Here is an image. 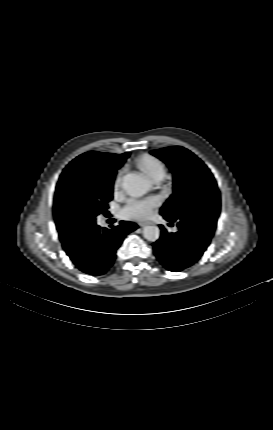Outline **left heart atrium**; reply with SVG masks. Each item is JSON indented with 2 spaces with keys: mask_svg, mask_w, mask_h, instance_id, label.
Returning a JSON list of instances; mask_svg holds the SVG:
<instances>
[{
  "mask_svg": "<svg viewBox=\"0 0 273 430\" xmlns=\"http://www.w3.org/2000/svg\"><path fill=\"white\" fill-rule=\"evenodd\" d=\"M158 205L159 200L156 197L131 198L121 209V216L126 219L143 220L150 217Z\"/></svg>",
  "mask_w": 273,
  "mask_h": 430,
  "instance_id": "1",
  "label": "left heart atrium"
}]
</instances>
